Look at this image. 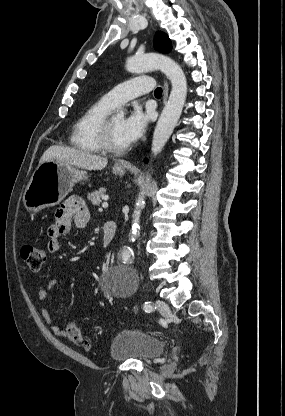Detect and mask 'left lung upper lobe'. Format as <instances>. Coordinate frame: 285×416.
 <instances>
[{
    "label": "left lung upper lobe",
    "instance_id": "obj_1",
    "mask_svg": "<svg viewBox=\"0 0 285 416\" xmlns=\"http://www.w3.org/2000/svg\"><path fill=\"white\" fill-rule=\"evenodd\" d=\"M154 48L161 53H169L171 51V41L165 33H156L154 38Z\"/></svg>",
    "mask_w": 285,
    "mask_h": 416
}]
</instances>
